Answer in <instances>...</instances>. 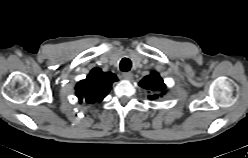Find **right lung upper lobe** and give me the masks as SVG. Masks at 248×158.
I'll return each mask as SVG.
<instances>
[{
	"label": "right lung upper lobe",
	"instance_id": "obj_1",
	"mask_svg": "<svg viewBox=\"0 0 248 158\" xmlns=\"http://www.w3.org/2000/svg\"><path fill=\"white\" fill-rule=\"evenodd\" d=\"M117 80L115 74L94 68L85 80L77 84L76 94L80 102L82 99H85L88 104L100 102L110 91L112 83Z\"/></svg>",
	"mask_w": 248,
	"mask_h": 158
}]
</instances>
